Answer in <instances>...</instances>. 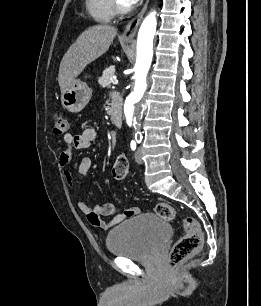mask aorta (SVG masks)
Here are the masks:
<instances>
[{
	"instance_id": "obj_1",
	"label": "aorta",
	"mask_w": 261,
	"mask_h": 306,
	"mask_svg": "<svg viewBox=\"0 0 261 306\" xmlns=\"http://www.w3.org/2000/svg\"><path fill=\"white\" fill-rule=\"evenodd\" d=\"M156 12H151L142 22L137 38V58L135 64L134 91L127 97L124 114L128 123L139 115L140 101L146 90V76L153 57V39L156 33Z\"/></svg>"
}]
</instances>
